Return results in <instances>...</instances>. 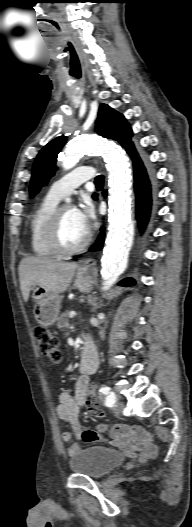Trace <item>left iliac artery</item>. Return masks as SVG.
<instances>
[{"label": "left iliac artery", "instance_id": "obj_1", "mask_svg": "<svg viewBox=\"0 0 192 527\" xmlns=\"http://www.w3.org/2000/svg\"><path fill=\"white\" fill-rule=\"evenodd\" d=\"M100 392L102 395L105 396L104 404L108 407L114 406L117 399H116V395L114 394V392L111 391V388L107 385H103L100 388Z\"/></svg>", "mask_w": 192, "mask_h": 527}]
</instances>
